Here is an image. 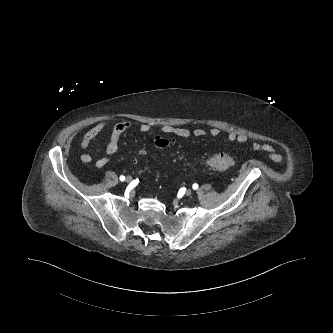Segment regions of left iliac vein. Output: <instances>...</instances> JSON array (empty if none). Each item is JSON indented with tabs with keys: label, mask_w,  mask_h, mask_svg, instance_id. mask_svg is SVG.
<instances>
[{
	"label": "left iliac vein",
	"mask_w": 333,
	"mask_h": 333,
	"mask_svg": "<svg viewBox=\"0 0 333 333\" xmlns=\"http://www.w3.org/2000/svg\"><path fill=\"white\" fill-rule=\"evenodd\" d=\"M185 194H186L187 196H190V195L192 194V190H190V189L186 190Z\"/></svg>",
	"instance_id": "left-iliac-vein-1"
}]
</instances>
